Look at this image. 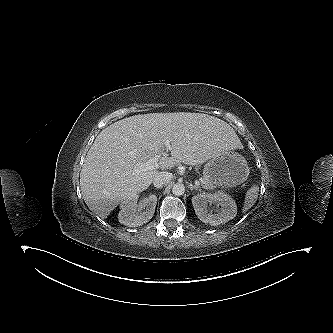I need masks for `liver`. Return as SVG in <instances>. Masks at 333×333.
I'll return each instance as SVG.
<instances>
[{"label": "liver", "instance_id": "liver-1", "mask_svg": "<svg viewBox=\"0 0 333 333\" xmlns=\"http://www.w3.org/2000/svg\"><path fill=\"white\" fill-rule=\"evenodd\" d=\"M170 142L171 156L158 168L135 172ZM235 131L225 121L200 113L139 114L119 120L96 137L80 173V188L88 208L105 219L125 198L141 193L160 170L180 163L200 165L241 148Z\"/></svg>", "mask_w": 333, "mask_h": 333}]
</instances>
